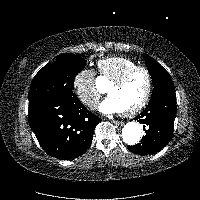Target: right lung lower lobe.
I'll return each instance as SVG.
<instances>
[{"instance_id": "98d812e1", "label": "right lung lower lobe", "mask_w": 200, "mask_h": 200, "mask_svg": "<svg viewBox=\"0 0 200 200\" xmlns=\"http://www.w3.org/2000/svg\"><path fill=\"white\" fill-rule=\"evenodd\" d=\"M29 124L41 147L51 156L69 160L84 154L100 118L76 97L70 101L40 99L29 102Z\"/></svg>"}]
</instances>
